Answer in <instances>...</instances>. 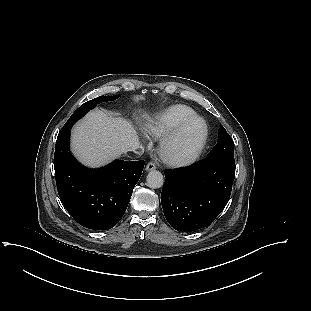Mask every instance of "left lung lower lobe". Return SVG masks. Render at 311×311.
<instances>
[{
    "mask_svg": "<svg viewBox=\"0 0 311 311\" xmlns=\"http://www.w3.org/2000/svg\"><path fill=\"white\" fill-rule=\"evenodd\" d=\"M161 193L163 212L177 231L209 226L227 204L235 177V162L205 158L193 166L165 171Z\"/></svg>",
    "mask_w": 311,
    "mask_h": 311,
    "instance_id": "0a47b994",
    "label": "left lung lower lobe"
}]
</instances>
